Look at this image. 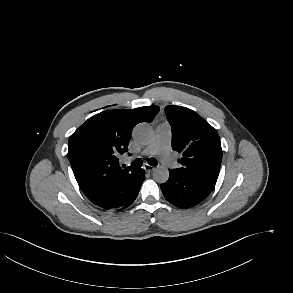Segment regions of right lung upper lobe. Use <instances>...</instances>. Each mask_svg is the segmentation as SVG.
Segmentation results:
<instances>
[{"mask_svg":"<svg viewBox=\"0 0 293 293\" xmlns=\"http://www.w3.org/2000/svg\"><path fill=\"white\" fill-rule=\"evenodd\" d=\"M158 106L108 110L89 118L69 138L68 158L76 181L95 205L106 210L124 206L136 193L140 169L121 168L133 127L151 122Z\"/></svg>","mask_w":293,"mask_h":293,"instance_id":"1","label":"right lung upper lobe"}]
</instances>
